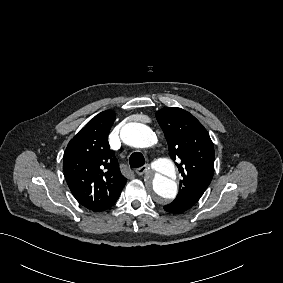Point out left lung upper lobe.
I'll return each instance as SVG.
<instances>
[{
  "label": "left lung upper lobe",
  "instance_id": "left-lung-upper-lobe-1",
  "mask_svg": "<svg viewBox=\"0 0 283 283\" xmlns=\"http://www.w3.org/2000/svg\"><path fill=\"white\" fill-rule=\"evenodd\" d=\"M167 143L169 155L183 176L175 200L198 202L212 181L215 152L212 140L203 125L189 112L166 107L156 113Z\"/></svg>",
  "mask_w": 283,
  "mask_h": 283
}]
</instances>
